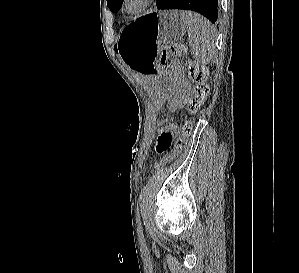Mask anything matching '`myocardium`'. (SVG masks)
Masks as SVG:
<instances>
[{
	"label": "myocardium",
	"instance_id": "f54148a6",
	"mask_svg": "<svg viewBox=\"0 0 299 273\" xmlns=\"http://www.w3.org/2000/svg\"><path fill=\"white\" fill-rule=\"evenodd\" d=\"M134 1V0H123L122 3V9L125 13H127L128 15H138L142 12H144L146 9H148L153 0H135L136 1V5L135 6H130V3Z\"/></svg>",
	"mask_w": 299,
	"mask_h": 273
}]
</instances>
